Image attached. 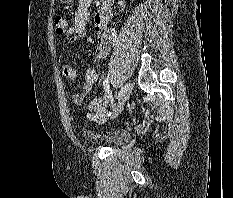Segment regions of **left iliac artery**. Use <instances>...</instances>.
Returning <instances> with one entry per match:
<instances>
[{"label":"left iliac artery","instance_id":"left-iliac-artery-1","mask_svg":"<svg viewBox=\"0 0 233 198\" xmlns=\"http://www.w3.org/2000/svg\"><path fill=\"white\" fill-rule=\"evenodd\" d=\"M103 87H104L105 92L108 94V98L111 100V104L114 105V104H113L114 99H113L112 93H111V91H110L109 77H107V78L104 80V82H103Z\"/></svg>","mask_w":233,"mask_h":198}]
</instances>
